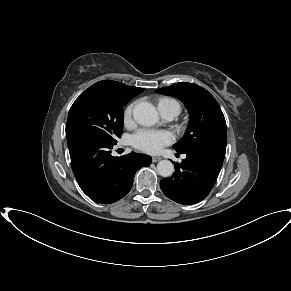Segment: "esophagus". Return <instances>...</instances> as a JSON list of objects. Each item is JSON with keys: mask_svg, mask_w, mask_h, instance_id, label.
Here are the masks:
<instances>
[{"mask_svg": "<svg viewBox=\"0 0 291 291\" xmlns=\"http://www.w3.org/2000/svg\"><path fill=\"white\" fill-rule=\"evenodd\" d=\"M161 159H162V157H160V156H153V157H152V161H153L154 163L160 161Z\"/></svg>", "mask_w": 291, "mask_h": 291, "instance_id": "esophagus-1", "label": "esophagus"}]
</instances>
